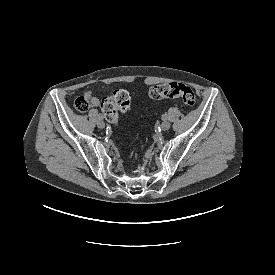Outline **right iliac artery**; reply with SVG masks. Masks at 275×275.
I'll return each instance as SVG.
<instances>
[{
  "label": "right iliac artery",
  "instance_id": "1",
  "mask_svg": "<svg viewBox=\"0 0 275 275\" xmlns=\"http://www.w3.org/2000/svg\"><path fill=\"white\" fill-rule=\"evenodd\" d=\"M97 117H98L99 119H102V118H103V115H102L101 113H98V114H97Z\"/></svg>",
  "mask_w": 275,
  "mask_h": 275
}]
</instances>
